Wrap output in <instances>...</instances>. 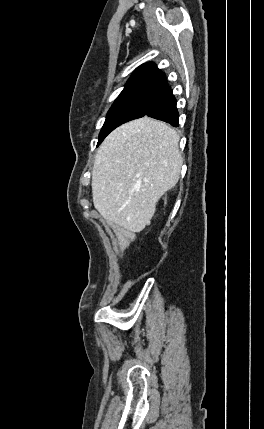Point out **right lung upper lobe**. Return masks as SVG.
<instances>
[{
  "label": "right lung upper lobe",
  "mask_w": 264,
  "mask_h": 429,
  "mask_svg": "<svg viewBox=\"0 0 264 429\" xmlns=\"http://www.w3.org/2000/svg\"><path fill=\"white\" fill-rule=\"evenodd\" d=\"M167 85L165 74L154 63L139 66L126 83L124 90L152 87L164 88Z\"/></svg>",
  "instance_id": "obj_1"
}]
</instances>
